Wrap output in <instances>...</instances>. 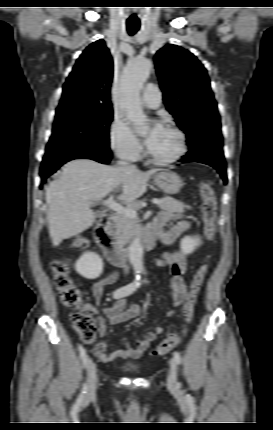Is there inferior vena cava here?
I'll list each match as a JSON object with an SVG mask.
<instances>
[{"label": "inferior vena cava", "mask_w": 273, "mask_h": 430, "mask_svg": "<svg viewBox=\"0 0 273 430\" xmlns=\"http://www.w3.org/2000/svg\"><path fill=\"white\" fill-rule=\"evenodd\" d=\"M120 165H127V163L126 162H123V161H120ZM130 167H132V168H136L135 166H130Z\"/></svg>", "instance_id": "obj_1"}]
</instances>
